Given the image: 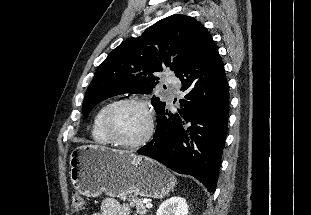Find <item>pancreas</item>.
<instances>
[{"mask_svg": "<svg viewBox=\"0 0 311 215\" xmlns=\"http://www.w3.org/2000/svg\"><path fill=\"white\" fill-rule=\"evenodd\" d=\"M122 200H125L127 197L123 196L121 197ZM128 202H130V206L135 207L136 212L139 215H145L147 212V209L145 207V204L142 202L140 198L137 197L135 194H129L127 198Z\"/></svg>", "mask_w": 311, "mask_h": 215, "instance_id": "pancreas-1", "label": "pancreas"}]
</instances>
